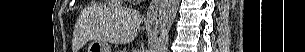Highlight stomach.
Returning <instances> with one entry per match:
<instances>
[{
    "label": "stomach",
    "mask_w": 305,
    "mask_h": 52,
    "mask_svg": "<svg viewBox=\"0 0 305 52\" xmlns=\"http://www.w3.org/2000/svg\"><path fill=\"white\" fill-rule=\"evenodd\" d=\"M87 52H111V49L107 42L91 40L88 43Z\"/></svg>",
    "instance_id": "1"
}]
</instances>
